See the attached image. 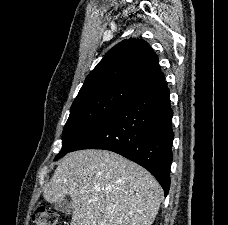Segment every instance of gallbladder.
<instances>
[{"instance_id": "obj_1", "label": "gallbladder", "mask_w": 228, "mask_h": 225, "mask_svg": "<svg viewBox=\"0 0 228 225\" xmlns=\"http://www.w3.org/2000/svg\"><path fill=\"white\" fill-rule=\"evenodd\" d=\"M53 207L56 209V211H61V213H65V215H72V211L70 209L71 203H69L67 199L58 201V203H53Z\"/></svg>"}]
</instances>
